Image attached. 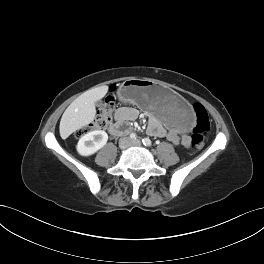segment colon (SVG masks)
Wrapping results in <instances>:
<instances>
[{"instance_id": "5ec220e1", "label": "colon", "mask_w": 264, "mask_h": 264, "mask_svg": "<svg viewBox=\"0 0 264 264\" xmlns=\"http://www.w3.org/2000/svg\"><path fill=\"white\" fill-rule=\"evenodd\" d=\"M116 107V100L113 95L107 96L98 106L97 115L90 125L92 129L105 128L112 119V114ZM194 115L196 118L195 127L191 136V145L195 150L203 147L206 137L210 130V121L206 109L200 103L193 106ZM87 129H82L79 134H83Z\"/></svg>"}]
</instances>
